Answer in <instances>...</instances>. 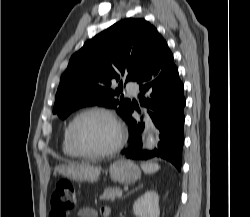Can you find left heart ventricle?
<instances>
[{"label": "left heart ventricle", "mask_w": 250, "mask_h": 217, "mask_svg": "<svg viewBox=\"0 0 250 217\" xmlns=\"http://www.w3.org/2000/svg\"><path fill=\"white\" fill-rule=\"evenodd\" d=\"M74 138L83 151L96 153L114 144L116 130L106 116L92 113L77 121L74 127Z\"/></svg>", "instance_id": "b2bd125f"}]
</instances>
